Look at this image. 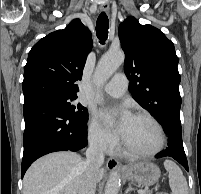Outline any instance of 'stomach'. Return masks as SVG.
<instances>
[{
    "instance_id": "stomach-1",
    "label": "stomach",
    "mask_w": 201,
    "mask_h": 194,
    "mask_svg": "<svg viewBox=\"0 0 201 194\" xmlns=\"http://www.w3.org/2000/svg\"><path fill=\"white\" fill-rule=\"evenodd\" d=\"M160 174V170L156 165L144 161L132 163L123 168V175L126 179L144 186L156 183Z\"/></svg>"
}]
</instances>
